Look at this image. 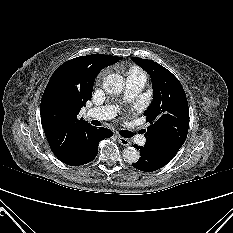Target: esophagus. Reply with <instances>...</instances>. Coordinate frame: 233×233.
I'll return each mask as SVG.
<instances>
[{"instance_id": "1", "label": "esophagus", "mask_w": 233, "mask_h": 233, "mask_svg": "<svg viewBox=\"0 0 233 233\" xmlns=\"http://www.w3.org/2000/svg\"><path fill=\"white\" fill-rule=\"evenodd\" d=\"M118 141L123 146H130V144H131V142L128 139L123 138L121 136L118 137Z\"/></svg>"}]
</instances>
